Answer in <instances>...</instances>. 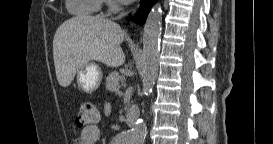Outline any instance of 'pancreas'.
<instances>
[{"label":"pancreas","instance_id":"obj_1","mask_svg":"<svg viewBox=\"0 0 273 144\" xmlns=\"http://www.w3.org/2000/svg\"><path fill=\"white\" fill-rule=\"evenodd\" d=\"M123 76H121L118 72L113 71L106 78V90L110 92H117L119 89V83L122 80Z\"/></svg>","mask_w":273,"mask_h":144}]
</instances>
